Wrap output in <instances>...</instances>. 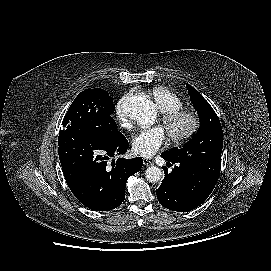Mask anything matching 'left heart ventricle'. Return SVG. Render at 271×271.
Masks as SVG:
<instances>
[{
	"label": "left heart ventricle",
	"mask_w": 271,
	"mask_h": 271,
	"mask_svg": "<svg viewBox=\"0 0 271 271\" xmlns=\"http://www.w3.org/2000/svg\"><path fill=\"white\" fill-rule=\"evenodd\" d=\"M184 127V123L183 122H180L176 125V129L177 130H181L182 128Z\"/></svg>",
	"instance_id": "obj_1"
}]
</instances>
